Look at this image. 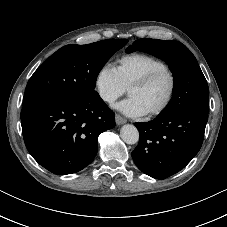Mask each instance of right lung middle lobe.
Instances as JSON below:
<instances>
[{
    "label": "right lung middle lobe",
    "instance_id": "dd1d6c3e",
    "mask_svg": "<svg viewBox=\"0 0 227 227\" xmlns=\"http://www.w3.org/2000/svg\"><path fill=\"white\" fill-rule=\"evenodd\" d=\"M127 42L103 40L87 45L63 46L32 75L26 86L23 105L54 96L87 99L98 95L94 89L99 72Z\"/></svg>",
    "mask_w": 227,
    "mask_h": 227
}]
</instances>
